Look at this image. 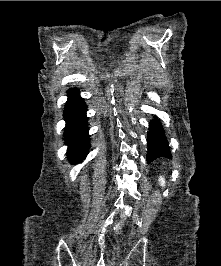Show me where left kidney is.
I'll list each match as a JSON object with an SVG mask.
<instances>
[{"instance_id":"obj_1","label":"left kidney","mask_w":221,"mask_h":266,"mask_svg":"<svg viewBox=\"0 0 221 266\" xmlns=\"http://www.w3.org/2000/svg\"><path fill=\"white\" fill-rule=\"evenodd\" d=\"M159 183H160V186H162V187L165 186V179H164V177H162V176L159 177Z\"/></svg>"}]
</instances>
